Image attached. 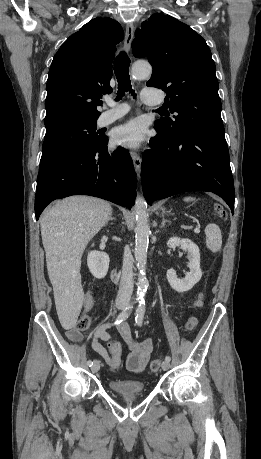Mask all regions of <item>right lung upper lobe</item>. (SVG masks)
I'll return each instance as SVG.
<instances>
[{
  "mask_svg": "<svg viewBox=\"0 0 261 459\" xmlns=\"http://www.w3.org/2000/svg\"><path fill=\"white\" fill-rule=\"evenodd\" d=\"M122 27L110 18H96L71 35L53 58L45 101V126L67 120H96L97 101L110 93L115 45Z\"/></svg>",
  "mask_w": 261,
  "mask_h": 459,
  "instance_id": "obj_1",
  "label": "right lung upper lobe"
}]
</instances>
